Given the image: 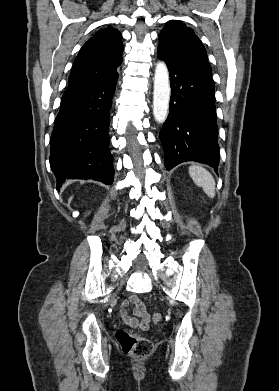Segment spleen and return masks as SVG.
Returning a JSON list of instances; mask_svg holds the SVG:
<instances>
[{"label":"spleen","mask_w":279,"mask_h":391,"mask_svg":"<svg viewBox=\"0 0 279 391\" xmlns=\"http://www.w3.org/2000/svg\"><path fill=\"white\" fill-rule=\"evenodd\" d=\"M189 174L194 183L202 187L210 198L215 197V180L209 171L201 166L193 165L189 167Z\"/></svg>","instance_id":"1"}]
</instances>
